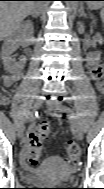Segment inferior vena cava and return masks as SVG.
Masks as SVG:
<instances>
[{"mask_svg":"<svg viewBox=\"0 0 104 189\" xmlns=\"http://www.w3.org/2000/svg\"><path fill=\"white\" fill-rule=\"evenodd\" d=\"M44 2L43 1H38V2H35V6H34V13L36 14V15H39L41 12H42V10H43V8H44Z\"/></svg>","mask_w":104,"mask_h":189,"instance_id":"602c4592","label":"inferior vena cava"}]
</instances>
